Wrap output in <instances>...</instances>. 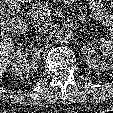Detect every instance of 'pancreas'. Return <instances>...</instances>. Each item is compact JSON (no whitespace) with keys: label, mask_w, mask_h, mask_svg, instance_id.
<instances>
[{"label":"pancreas","mask_w":113,"mask_h":113,"mask_svg":"<svg viewBox=\"0 0 113 113\" xmlns=\"http://www.w3.org/2000/svg\"><path fill=\"white\" fill-rule=\"evenodd\" d=\"M28 15L33 23H41L49 18V7L43 1L36 2L32 5Z\"/></svg>","instance_id":"obj_1"}]
</instances>
